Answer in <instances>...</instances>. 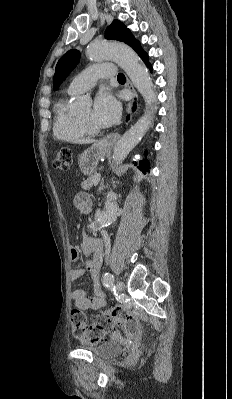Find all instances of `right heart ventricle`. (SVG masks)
Instances as JSON below:
<instances>
[{
    "instance_id": "e07e8e85",
    "label": "right heart ventricle",
    "mask_w": 232,
    "mask_h": 399,
    "mask_svg": "<svg viewBox=\"0 0 232 399\" xmlns=\"http://www.w3.org/2000/svg\"><path fill=\"white\" fill-rule=\"evenodd\" d=\"M52 132L55 139L76 144L85 139V134L80 129L76 116L67 110L65 101H58L53 107Z\"/></svg>"
}]
</instances>
